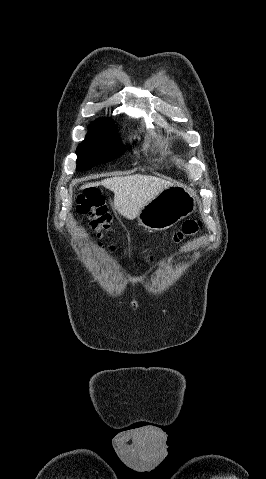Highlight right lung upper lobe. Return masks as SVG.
<instances>
[{"instance_id": "obj_1", "label": "right lung upper lobe", "mask_w": 266, "mask_h": 479, "mask_svg": "<svg viewBox=\"0 0 266 479\" xmlns=\"http://www.w3.org/2000/svg\"><path fill=\"white\" fill-rule=\"evenodd\" d=\"M98 121H105V120H103V119H100V120H98ZM106 121H110V122H112L110 119H109V120H106Z\"/></svg>"}]
</instances>
